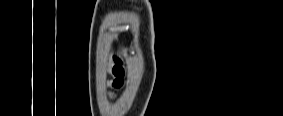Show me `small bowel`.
Here are the masks:
<instances>
[{"label":"small bowel","instance_id":"c3829d8e","mask_svg":"<svg viewBox=\"0 0 283 116\" xmlns=\"http://www.w3.org/2000/svg\"><path fill=\"white\" fill-rule=\"evenodd\" d=\"M114 61L116 63V66H115V75H124V69H123V65H124V62H123V59L121 57H118V56H115L114 57Z\"/></svg>","mask_w":283,"mask_h":116}]
</instances>
